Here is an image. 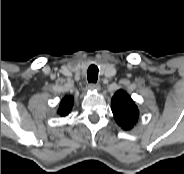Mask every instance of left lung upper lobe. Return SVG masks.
<instances>
[{
  "mask_svg": "<svg viewBox=\"0 0 184 174\" xmlns=\"http://www.w3.org/2000/svg\"><path fill=\"white\" fill-rule=\"evenodd\" d=\"M112 112L115 121L124 130L132 129L139 117L138 107L122 89L118 90L112 97Z\"/></svg>",
  "mask_w": 184,
  "mask_h": 174,
  "instance_id": "obj_1",
  "label": "left lung upper lobe"
}]
</instances>
